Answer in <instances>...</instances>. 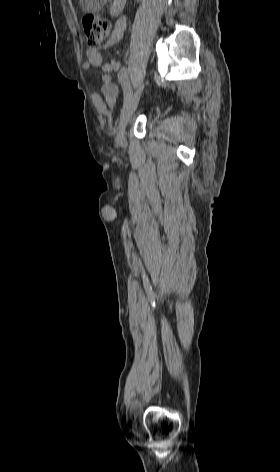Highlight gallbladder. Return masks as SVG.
I'll list each match as a JSON object with an SVG mask.
<instances>
[{
	"label": "gallbladder",
	"mask_w": 280,
	"mask_h": 472,
	"mask_svg": "<svg viewBox=\"0 0 280 472\" xmlns=\"http://www.w3.org/2000/svg\"><path fill=\"white\" fill-rule=\"evenodd\" d=\"M106 0H79L83 12L98 13Z\"/></svg>",
	"instance_id": "obj_1"
}]
</instances>
